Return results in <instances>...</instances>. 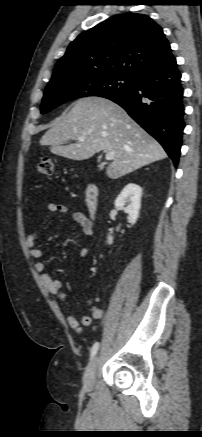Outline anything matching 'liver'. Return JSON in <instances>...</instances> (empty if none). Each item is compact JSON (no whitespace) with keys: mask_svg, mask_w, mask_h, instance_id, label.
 Here are the masks:
<instances>
[{"mask_svg":"<svg viewBox=\"0 0 202 437\" xmlns=\"http://www.w3.org/2000/svg\"><path fill=\"white\" fill-rule=\"evenodd\" d=\"M84 141H78V137ZM69 140L76 143L64 145ZM53 154L72 160H86L99 151H113L115 157L106 169L118 179L143 166L165 159L162 146L116 103L87 97L76 101L72 109L54 120L40 139Z\"/></svg>","mask_w":202,"mask_h":437,"instance_id":"6515ba94","label":"liver"}]
</instances>
